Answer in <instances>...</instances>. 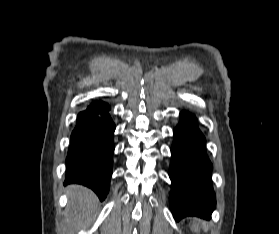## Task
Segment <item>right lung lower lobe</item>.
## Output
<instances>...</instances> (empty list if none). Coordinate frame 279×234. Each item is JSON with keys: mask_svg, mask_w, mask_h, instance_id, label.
Instances as JSON below:
<instances>
[{"mask_svg": "<svg viewBox=\"0 0 279 234\" xmlns=\"http://www.w3.org/2000/svg\"><path fill=\"white\" fill-rule=\"evenodd\" d=\"M110 106L95 101L78 114L67 155L65 184L91 188L103 201L109 191L113 164L115 125Z\"/></svg>", "mask_w": 279, "mask_h": 234, "instance_id": "1", "label": "right lung lower lobe"}]
</instances>
